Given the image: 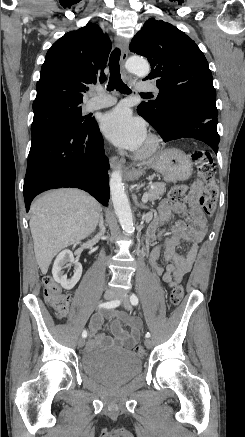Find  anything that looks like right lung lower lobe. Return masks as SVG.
<instances>
[{
	"mask_svg": "<svg viewBox=\"0 0 245 437\" xmlns=\"http://www.w3.org/2000/svg\"><path fill=\"white\" fill-rule=\"evenodd\" d=\"M109 162L96 120L82 129L52 124L32 136L24 180L26 211L33 198L49 189L85 190L107 206Z\"/></svg>",
	"mask_w": 245,
	"mask_h": 437,
	"instance_id": "1",
	"label": "right lung lower lobe"
}]
</instances>
